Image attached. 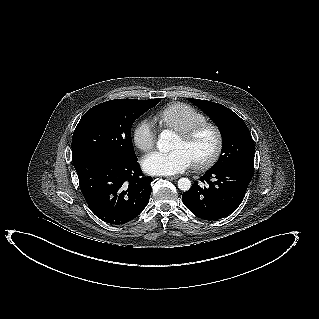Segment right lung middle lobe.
<instances>
[{
    "instance_id": "1",
    "label": "right lung middle lobe",
    "mask_w": 319,
    "mask_h": 319,
    "mask_svg": "<svg viewBox=\"0 0 319 319\" xmlns=\"http://www.w3.org/2000/svg\"><path fill=\"white\" fill-rule=\"evenodd\" d=\"M161 99H115L98 104L80 119L72 137V160L93 152H111L123 160L134 158L131 127Z\"/></svg>"
}]
</instances>
